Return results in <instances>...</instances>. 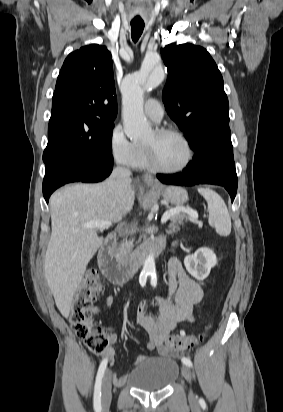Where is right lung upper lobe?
<instances>
[{
	"instance_id": "1",
	"label": "right lung upper lobe",
	"mask_w": 283,
	"mask_h": 412,
	"mask_svg": "<svg viewBox=\"0 0 283 412\" xmlns=\"http://www.w3.org/2000/svg\"><path fill=\"white\" fill-rule=\"evenodd\" d=\"M113 61L106 47L92 44L68 55L57 78L51 116L79 112L114 124L117 97Z\"/></svg>"
}]
</instances>
